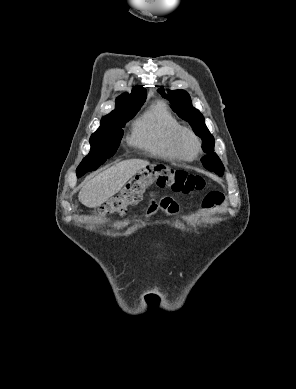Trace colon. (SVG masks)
I'll return each instance as SVG.
<instances>
[{"mask_svg":"<svg viewBox=\"0 0 296 389\" xmlns=\"http://www.w3.org/2000/svg\"><path fill=\"white\" fill-rule=\"evenodd\" d=\"M152 185L190 194L202 191L205 188V180L201 176L165 164H152L129 180L118 195L99 208L98 213L123 215L128 207L141 200L145 190Z\"/></svg>","mask_w":296,"mask_h":389,"instance_id":"obj_1","label":"colon"}]
</instances>
